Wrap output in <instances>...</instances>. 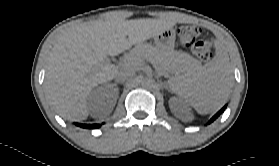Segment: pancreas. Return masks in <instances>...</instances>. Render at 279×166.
I'll return each mask as SVG.
<instances>
[{
    "label": "pancreas",
    "instance_id": "pancreas-1",
    "mask_svg": "<svg viewBox=\"0 0 279 166\" xmlns=\"http://www.w3.org/2000/svg\"><path fill=\"white\" fill-rule=\"evenodd\" d=\"M144 60L151 61L154 66L165 73L190 72L200 68L201 63L189 54L174 50H161L150 44H139L124 58V65L138 70Z\"/></svg>",
    "mask_w": 279,
    "mask_h": 166
}]
</instances>
